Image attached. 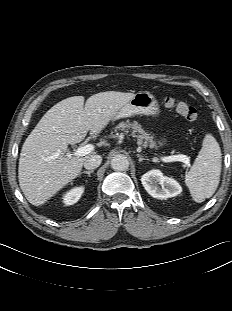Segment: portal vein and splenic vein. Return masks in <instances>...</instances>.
Masks as SVG:
<instances>
[{
    "label": "portal vein and splenic vein",
    "mask_w": 232,
    "mask_h": 311,
    "mask_svg": "<svg viewBox=\"0 0 232 311\" xmlns=\"http://www.w3.org/2000/svg\"><path fill=\"white\" fill-rule=\"evenodd\" d=\"M93 150H94L93 145H91V144L83 145L82 144L75 150V152H73V154L67 153V156L72 157V155H73L76 157H82V156H85V155L91 153ZM162 161L163 162L180 161V162H183L185 164H189L190 160L186 155L179 154V155H172V156L164 157V158H162Z\"/></svg>",
    "instance_id": "1"
}]
</instances>
